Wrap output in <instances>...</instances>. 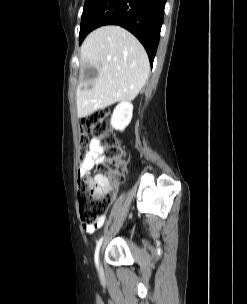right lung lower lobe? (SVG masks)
<instances>
[{"mask_svg": "<svg viewBox=\"0 0 247 304\" xmlns=\"http://www.w3.org/2000/svg\"><path fill=\"white\" fill-rule=\"evenodd\" d=\"M166 0H100L81 21L83 36L103 25H119L143 44L151 65L159 43Z\"/></svg>", "mask_w": 247, "mask_h": 304, "instance_id": "1", "label": "right lung lower lobe"}]
</instances>
